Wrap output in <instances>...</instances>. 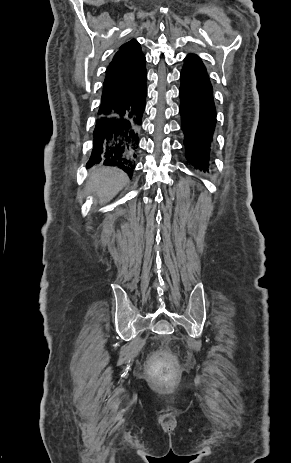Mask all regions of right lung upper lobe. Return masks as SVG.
Listing matches in <instances>:
<instances>
[{
  "instance_id": "obj_1",
  "label": "right lung upper lobe",
  "mask_w": 291,
  "mask_h": 463,
  "mask_svg": "<svg viewBox=\"0 0 291 463\" xmlns=\"http://www.w3.org/2000/svg\"><path fill=\"white\" fill-rule=\"evenodd\" d=\"M145 63V56L136 40L119 48L106 70L98 116L106 115L140 85L146 73Z\"/></svg>"
}]
</instances>
